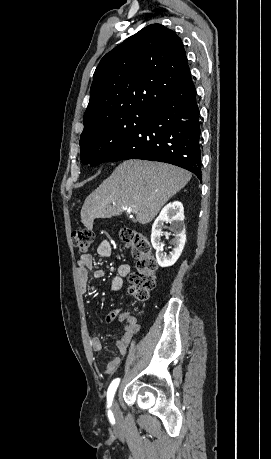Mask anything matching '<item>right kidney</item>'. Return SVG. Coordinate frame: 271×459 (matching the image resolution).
Returning <instances> with one entry per match:
<instances>
[{
    "label": "right kidney",
    "mask_w": 271,
    "mask_h": 459,
    "mask_svg": "<svg viewBox=\"0 0 271 459\" xmlns=\"http://www.w3.org/2000/svg\"><path fill=\"white\" fill-rule=\"evenodd\" d=\"M165 224H170L169 229L173 231V237L171 243H173V251H169L168 255L163 251V241H161L162 228H168ZM186 241V228L184 224V208L181 202H171L163 208L160 212V216L156 218L151 233V243L156 249V257L161 267H167V265H173L177 261L179 255L182 253V249Z\"/></svg>",
    "instance_id": "obj_1"
}]
</instances>
